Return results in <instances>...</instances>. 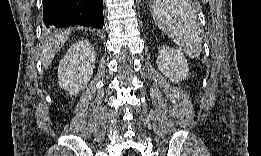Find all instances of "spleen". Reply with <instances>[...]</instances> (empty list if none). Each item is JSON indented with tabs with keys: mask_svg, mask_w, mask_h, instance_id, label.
<instances>
[{
	"mask_svg": "<svg viewBox=\"0 0 261 156\" xmlns=\"http://www.w3.org/2000/svg\"><path fill=\"white\" fill-rule=\"evenodd\" d=\"M152 16L159 27L190 58L201 54L202 37L196 11L188 1L154 0Z\"/></svg>",
	"mask_w": 261,
	"mask_h": 156,
	"instance_id": "1",
	"label": "spleen"
}]
</instances>
